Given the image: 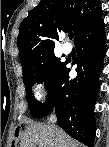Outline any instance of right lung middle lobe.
Instances as JSON below:
<instances>
[{"label":"right lung middle lobe","mask_w":109,"mask_h":147,"mask_svg":"<svg viewBox=\"0 0 109 147\" xmlns=\"http://www.w3.org/2000/svg\"><path fill=\"white\" fill-rule=\"evenodd\" d=\"M63 67L64 63L58 61L54 52L48 53L37 62L23 67V82L26 87V97L32 117H37L45 104L32 98L33 84L44 82L48 92H50Z\"/></svg>","instance_id":"right-lung-middle-lobe-1"}]
</instances>
